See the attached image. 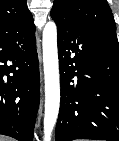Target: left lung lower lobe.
Listing matches in <instances>:
<instances>
[{
    "mask_svg": "<svg viewBox=\"0 0 119 141\" xmlns=\"http://www.w3.org/2000/svg\"><path fill=\"white\" fill-rule=\"evenodd\" d=\"M61 102L56 141H119V43L56 21Z\"/></svg>",
    "mask_w": 119,
    "mask_h": 141,
    "instance_id": "1",
    "label": "left lung lower lobe"
}]
</instances>
